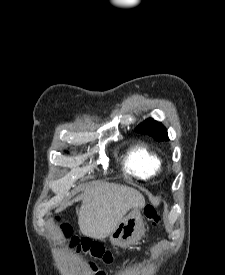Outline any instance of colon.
<instances>
[{"instance_id": "obj_1", "label": "colon", "mask_w": 225, "mask_h": 275, "mask_svg": "<svg viewBox=\"0 0 225 275\" xmlns=\"http://www.w3.org/2000/svg\"><path fill=\"white\" fill-rule=\"evenodd\" d=\"M145 215L152 225H156L160 221V215L157 208L153 205H148L145 208ZM61 234L68 239L69 245L77 252H83L90 255L94 259L104 263L111 264L114 261V256L110 251L105 250L99 243L88 238H79L73 236L68 225H61ZM95 275H100L101 272L92 267Z\"/></svg>"}]
</instances>
